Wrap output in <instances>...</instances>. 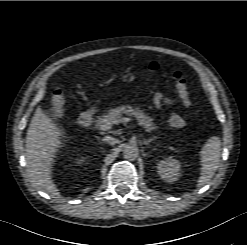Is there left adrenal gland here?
<instances>
[{
    "label": "left adrenal gland",
    "instance_id": "1",
    "mask_svg": "<svg viewBox=\"0 0 247 245\" xmlns=\"http://www.w3.org/2000/svg\"><path fill=\"white\" fill-rule=\"evenodd\" d=\"M155 138H151V139H148V140H143V144L145 145H149Z\"/></svg>",
    "mask_w": 247,
    "mask_h": 245
}]
</instances>
